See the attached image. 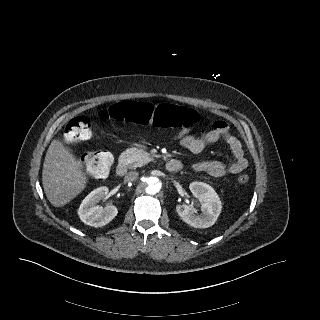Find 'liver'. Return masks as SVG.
I'll list each match as a JSON object with an SVG mask.
<instances>
[{"mask_svg":"<svg viewBox=\"0 0 320 320\" xmlns=\"http://www.w3.org/2000/svg\"><path fill=\"white\" fill-rule=\"evenodd\" d=\"M42 184L48 200L55 207L66 205L85 188L86 178L79 163L58 140H53L47 150Z\"/></svg>","mask_w":320,"mask_h":320,"instance_id":"obj_1","label":"liver"}]
</instances>
